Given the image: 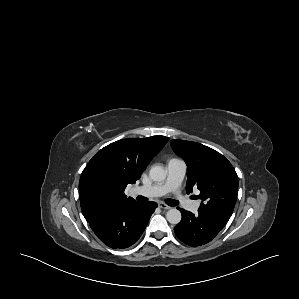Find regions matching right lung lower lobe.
<instances>
[{
	"instance_id": "1",
	"label": "right lung lower lobe",
	"mask_w": 299,
	"mask_h": 299,
	"mask_svg": "<svg viewBox=\"0 0 299 299\" xmlns=\"http://www.w3.org/2000/svg\"><path fill=\"white\" fill-rule=\"evenodd\" d=\"M157 204L129 201L108 210H91L84 215L96 236L113 249L133 245L142 235Z\"/></svg>"
}]
</instances>
